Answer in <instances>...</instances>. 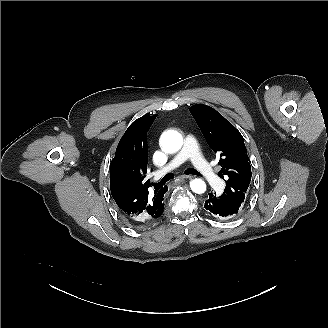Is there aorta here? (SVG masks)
I'll list each match as a JSON object with an SVG mask.
<instances>
[{"instance_id": "aorta-1", "label": "aorta", "mask_w": 328, "mask_h": 328, "mask_svg": "<svg viewBox=\"0 0 328 328\" xmlns=\"http://www.w3.org/2000/svg\"><path fill=\"white\" fill-rule=\"evenodd\" d=\"M160 143L166 152H176L183 145L182 135L174 130H169L161 135ZM191 190L196 194H202L206 191V184L201 179H193L190 182Z\"/></svg>"}]
</instances>
